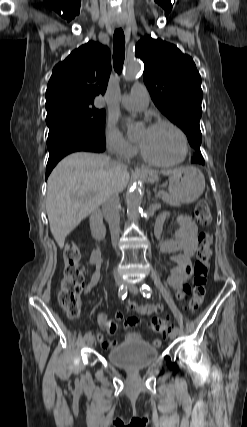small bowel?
I'll return each mask as SVG.
<instances>
[{
  "label": "small bowel",
  "instance_id": "c3829d8e",
  "mask_svg": "<svg viewBox=\"0 0 247 427\" xmlns=\"http://www.w3.org/2000/svg\"><path fill=\"white\" fill-rule=\"evenodd\" d=\"M165 215L158 217L155 224V235L160 240V250L164 253L174 254L172 260L176 266L170 269L167 282L171 288L176 290V296L179 300L184 299L190 292V287L187 284L192 275L191 257L194 255L198 248V228L195 222L185 215H180L176 218L174 225L176 226L175 235L172 239H164ZM89 262L95 266L91 272L85 285V292L88 293L98 283L100 279V267L103 258L99 249H94L90 255ZM131 309L136 311L139 315L157 314L163 311L162 304H144L139 305L136 303H129ZM123 317L120 311L116 312L115 320H109L104 314H98L97 320L100 326L108 333L113 334L116 331V321L121 320ZM140 324L138 317L128 318L124 326L126 329L137 326ZM141 335L136 332L127 331L125 335L126 341L139 340ZM103 346L113 348L117 344L115 341H104ZM153 345L159 346L160 340L154 339Z\"/></svg>",
  "mask_w": 247,
  "mask_h": 427
}]
</instances>
